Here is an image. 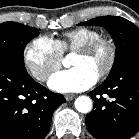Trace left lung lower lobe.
<instances>
[{
    "instance_id": "1",
    "label": "left lung lower lobe",
    "mask_w": 139,
    "mask_h": 139,
    "mask_svg": "<svg viewBox=\"0 0 139 139\" xmlns=\"http://www.w3.org/2000/svg\"><path fill=\"white\" fill-rule=\"evenodd\" d=\"M89 95L94 106L85 122L95 138L132 137L139 130V57L125 63Z\"/></svg>"
}]
</instances>
